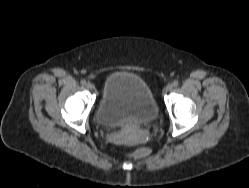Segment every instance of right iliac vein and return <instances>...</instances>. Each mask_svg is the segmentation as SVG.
<instances>
[{
	"instance_id": "63e3f726",
	"label": "right iliac vein",
	"mask_w": 249,
	"mask_h": 188,
	"mask_svg": "<svg viewBox=\"0 0 249 188\" xmlns=\"http://www.w3.org/2000/svg\"><path fill=\"white\" fill-rule=\"evenodd\" d=\"M86 87H87L89 90H92V89L94 88L93 84L90 83V82H88V83L86 84Z\"/></svg>"
}]
</instances>
